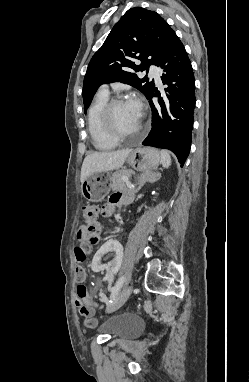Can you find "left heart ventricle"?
<instances>
[{
	"instance_id": "obj_1",
	"label": "left heart ventricle",
	"mask_w": 249,
	"mask_h": 382,
	"mask_svg": "<svg viewBox=\"0 0 249 382\" xmlns=\"http://www.w3.org/2000/svg\"><path fill=\"white\" fill-rule=\"evenodd\" d=\"M140 120L141 115L137 114L126 101L113 108L112 121L114 127L123 134L135 132Z\"/></svg>"
}]
</instances>
